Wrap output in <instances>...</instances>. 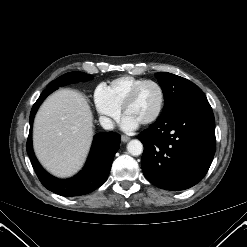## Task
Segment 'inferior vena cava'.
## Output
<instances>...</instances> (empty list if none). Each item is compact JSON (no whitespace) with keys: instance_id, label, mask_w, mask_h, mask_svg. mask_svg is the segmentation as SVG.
Masks as SVG:
<instances>
[{"instance_id":"inferior-vena-cava-1","label":"inferior vena cava","mask_w":247,"mask_h":247,"mask_svg":"<svg viewBox=\"0 0 247 247\" xmlns=\"http://www.w3.org/2000/svg\"><path fill=\"white\" fill-rule=\"evenodd\" d=\"M99 121H100V124L101 126L106 129V130H111L113 129L114 125H113V122L110 118H107V117H104V116H101L99 118Z\"/></svg>"}]
</instances>
